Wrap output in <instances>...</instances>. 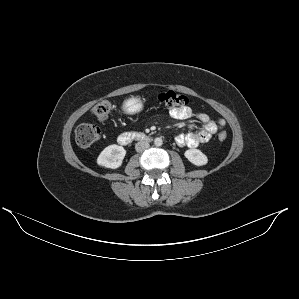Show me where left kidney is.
<instances>
[{"mask_svg": "<svg viewBox=\"0 0 299 299\" xmlns=\"http://www.w3.org/2000/svg\"><path fill=\"white\" fill-rule=\"evenodd\" d=\"M184 156L194 165L203 166L208 162V158L199 149L186 150Z\"/></svg>", "mask_w": 299, "mask_h": 299, "instance_id": "5707ae66", "label": "left kidney"}]
</instances>
